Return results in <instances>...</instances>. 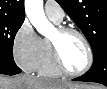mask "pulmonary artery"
Listing matches in <instances>:
<instances>
[{
    "label": "pulmonary artery",
    "instance_id": "e3ab8cb5",
    "mask_svg": "<svg viewBox=\"0 0 107 89\" xmlns=\"http://www.w3.org/2000/svg\"><path fill=\"white\" fill-rule=\"evenodd\" d=\"M44 11L48 18L60 23L64 18V11L61 6L55 1H47L44 5Z\"/></svg>",
    "mask_w": 107,
    "mask_h": 89
}]
</instances>
